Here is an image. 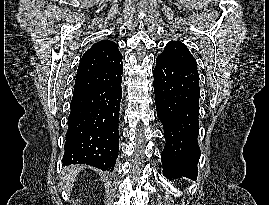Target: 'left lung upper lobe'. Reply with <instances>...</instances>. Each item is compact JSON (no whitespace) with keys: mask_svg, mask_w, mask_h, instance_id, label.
Returning <instances> with one entry per match:
<instances>
[{"mask_svg":"<svg viewBox=\"0 0 269 205\" xmlns=\"http://www.w3.org/2000/svg\"><path fill=\"white\" fill-rule=\"evenodd\" d=\"M160 55L177 62L188 63L197 67V62L186 45L178 41H170Z\"/></svg>","mask_w":269,"mask_h":205,"instance_id":"obj_1","label":"left lung upper lobe"}]
</instances>
